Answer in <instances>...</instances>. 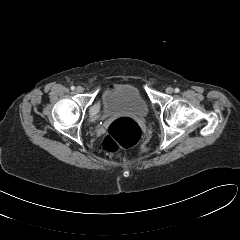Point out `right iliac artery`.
Segmentation results:
<instances>
[{"label": "right iliac artery", "mask_w": 240, "mask_h": 240, "mask_svg": "<svg viewBox=\"0 0 240 240\" xmlns=\"http://www.w3.org/2000/svg\"><path fill=\"white\" fill-rule=\"evenodd\" d=\"M71 90H75V87H74V86H71Z\"/></svg>", "instance_id": "right-iliac-artery-1"}]
</instances>
